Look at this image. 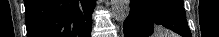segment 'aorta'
Here are the masks:
<instances>
[{"mask_svg":"<svg viewBox=\"0 0 219 37\" xmlns=\"http://www.w3.org/2000/svg\"><path fill=\"white\" fill-rule=\"evenodd\" d=\"M111 8L117 21H124L130 12V0H111Z\"/></svg>","mask_w":219,"mask_h":37,"instance_id":"762f6f07","label":"aorta"}]
</instances>
